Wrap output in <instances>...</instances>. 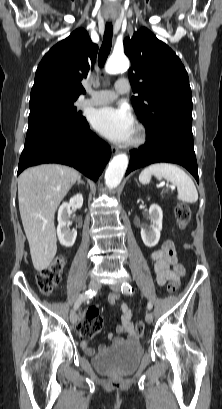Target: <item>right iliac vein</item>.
<instances>
[{
	"instance_id": "obj_1",
	"label": "right iliac vein",
	"mask_w": 222,
	"mask_h": 409,
	"mask_svg": "<svg viewBox=\"0 0 222 409\" xmlns=\"http://www.w3.org/2000/svg\"><path fill=\"white\" fill-rule=\"evenodd\" d=\"M100 286H101V283L97 279H92L89 282V285H88L89 289H92V290L98 289ZM77 319H78V316H77L76 312L74 310H71V312H70V321H71V323L76 324Z\"/></svg>"
}]
</instances>
